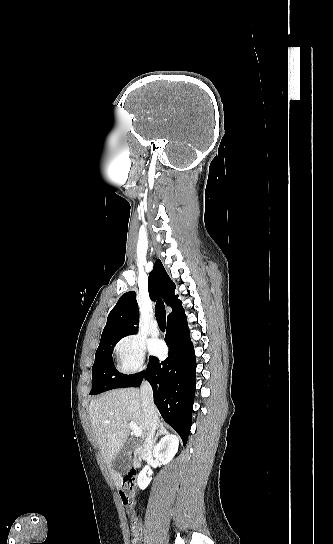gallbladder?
I'll use <instances>...</instances> for the list:
<instances>
[{
    "mask_svg": "<svg viewBox=\"0 0 333 544\" xmlns=\"http://www.w3.org/2000/svg\"><path fill=\"white\" fill-rule=\"evenodd\" d=\"M136 447V443L127 440L123 448L119 451L112 461V468L122 474H125L131 466V454Z\"/></svg>",
    "mask_w": 333,
    "mask_h": 544,
    "instance_id": "1",
    "label": "gallbladder"
}]
</instances>
